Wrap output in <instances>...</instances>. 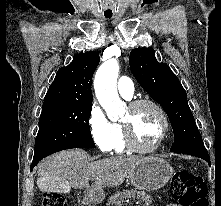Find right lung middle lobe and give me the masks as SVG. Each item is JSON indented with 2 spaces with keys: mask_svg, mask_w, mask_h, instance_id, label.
Listing matches in <instances>:
<instances>
[{
  "mask_svg": "<svg viewBox=\"0 0 221 206\" xmlns=\"http://www.w3.org/2000/svg\"><path fill=\"white\" fill-rule=\"evenodd\" d=\"M92 105L42 109L34 158L70 148H95L89 128Z\"/></svg>",
  "mask_w": 221,
  "mask_h": 206,
  "instance_id": "right-lung-middle-lobe-1",
  "label": "right lung middle lobe"
}]
</instances>
